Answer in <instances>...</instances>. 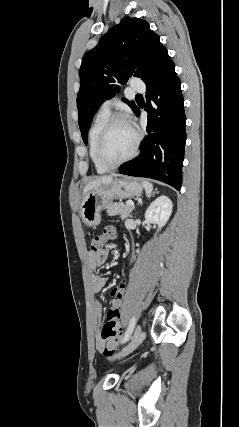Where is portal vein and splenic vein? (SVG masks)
I'll return each mask as SVG.
<instances>
[{
  "mask_svg": "<svg viewBox=\"0 0 239 427\" xmlns=\"http://www.w3.org/2000/svg\"><path fill=\"white\" fill-rule=\"evenodd\" d=\"M126 205L131 206V207H134V203H133V201H127V202H126Z\"/></svg>",
  "mask_w": 239,
  "mask_h": 427,
  "instance_id": "1",
  "label": "portal vein and splenic vein"
}]
</instances>
